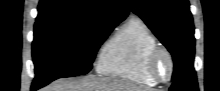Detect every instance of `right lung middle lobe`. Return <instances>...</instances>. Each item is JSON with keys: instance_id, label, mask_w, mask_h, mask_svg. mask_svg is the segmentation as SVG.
Listing matches in <instances>:
<instances>
[{"instance_id": "dd1d6c3e", "label": "right lung middle lobe", "mask_w": 220, "mask_h": 91, "mask_svg": "<svg viewBox=\"0 0 220 91\" xmlns=\"http://www.w3.org/2000/svg\"><path fill=\"white\" fill-rule=\"evenodd\" d=\"M114 28L69 22L35 25L33 84L45 86L60 77L88 73L97 50Z\"/></svg>"}]
</instances>
